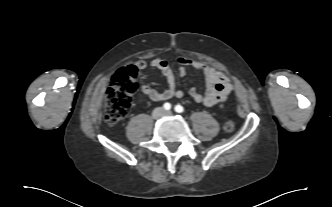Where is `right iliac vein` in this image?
Returning a JSON list of instances; mask_svg holds the SVG:
<instances>
[{
	"instance_id": "1",
	"label": "right iliac vein",
	"mask_w": 332,
	"mask_h": 207,
	"mask_svg": "<svg viewBox=\"0 0 332 207\" xmlns=\"http://www.w3.org/2000/svg\"><path fill=\"white\" fill-rule=\"evenodd\" d=\"M162 114H163V110H162L161 108H158V109L156 110V115L160 116V115H162Z\"/></svg>"
}]
</instances>
